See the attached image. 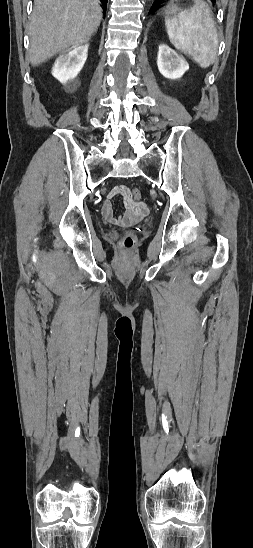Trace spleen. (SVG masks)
Wrapping results in <instances>:
<instances>
[{"mask_svg": "<svg viewBox=\"0 0 253 548\" xmlns=\"http://www.w3.org/2000/svg\"><path fill=\"white\" fill-rule=\"evenodd\" d=\"M194 5L165 20L167 33L176 49L193 58L201 67L214 63L218 37L211 9L204 0H193Z\"/></svg>", "mask_w": 253, "mask_h": 548, "instance_id": "spleen-1", "label": "spleen"}]
</instances>
